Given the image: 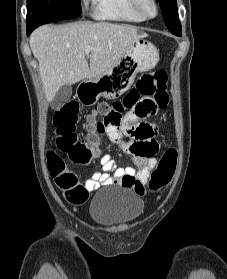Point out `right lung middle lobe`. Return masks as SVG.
Returning a JSON list of instances; mask_svg holds the SVG:
<instances>
[{"label":"right lung middle lobe","instance_id":"dd1d6c3e","mask_svg":"<svg viewBox=\"0 0 227 279\" xmlns=\"http://www.w3.org/2000/svg\"><path fill=\"white\" fill-rule=\"evenodd\" d=\"M80 14L79 0H27V22L30 24L40 19L61 21Z\"/></svg>","mask_w":227,"mask_h":279}]
</instances>
